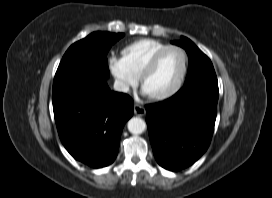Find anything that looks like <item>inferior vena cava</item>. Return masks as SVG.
<instances>
[{
	"mask_svg": "<svg viewBox=\"0 0 272 198\" xmlns=\"http://www.w3.org/2000/svg\"><path fill=\"white\" fill-rule=\"evenodd\" d=\"M114 90L119 91V92H128L129 91V86L120 80H116L114 82Z\"/></svg>",
	"mask_w": 272,
	"mask_h": 198,
	"instance_id": "obj_1",
	"label": "inferior vena cava"
}]
</instances>
